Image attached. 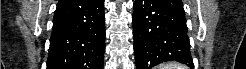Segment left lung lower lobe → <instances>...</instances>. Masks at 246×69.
Wrapping results in <instances>:
<instances>
[{"instance_id": "left-lung-lower-lobe-1", "label": "left lung lower lobe", "mask_w": 246, "mask_h": 69, "mask_svg": "<svg viewBox=\"0 0 246 69\" xmlns=\"http://www.w3.org/2000/svg\"><path fill=\"white\" fill-rule=\"evenodd\" d=\"M133 37L137 69L170 60L194 66L185 15L164 0L134 2Z\"/></svg>"}]
</instances>
